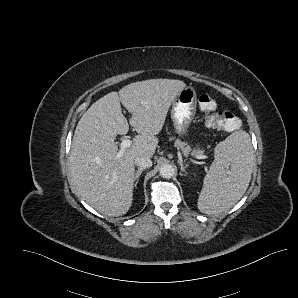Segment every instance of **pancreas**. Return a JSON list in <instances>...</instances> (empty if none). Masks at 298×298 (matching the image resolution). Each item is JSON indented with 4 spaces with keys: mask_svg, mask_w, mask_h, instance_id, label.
Returning <instances> with one entry per match:
<instances>
[{
    "mask_svg": "<svg viewBox=\"0 0 298 298\" xmlns=\"http://www.w3.org/2000/svg\"><path fill=\"white\" fill-rule=\"evenodd\" d=\"M169 141H173L174 146L179 148L184 155H189L190 153L203 154L204 152L199 143L193 146L190 140H184L182 137L177 138L175 135H171L169 136Z\"/></svg>",
    "mask_w": 298,
    "mask_h": 298,
    "instance_id": "cf45deb5",
    "label": "pancreas"
}]
</instances>
